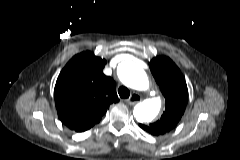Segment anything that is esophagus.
Segmentation results:
<instances>
[{"label":"esophagus","instance_id":"obj_1","mask_svg":"<svg viewBox=\"0 0 240 160\" xmlns=\"http://www.w3.org/2000/svg\"><path fill=\"white\" fill-rule=\"evenodd\" d=\"M141 101V96L137 93H133L127 100L126 103L129 105H136Z\"/></svg>","mask_w":240,"mask_h":160}]
</instances>
